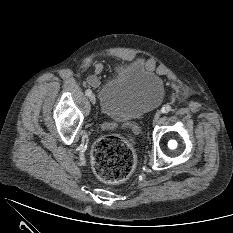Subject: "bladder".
I'll return each mask as SVG.
<instances>
[{
  "label": "bladder",
  "instance_id": "31cf9c89",
  "mask_svg": "<svg viewBox=\"0 0 233 233\" xmlns=\"http://www.w3.org/2000/svg\"><path fill=\"white\" fill-rule=\"evenodd\" d=\"M164 94L163 79L135 61L119 67L115 77L99 87L98 103L108 118L127 122L157 107Z\"/></svg>",
  "mask_w": 233,
  "mask_h": 233
}]
</instances>
